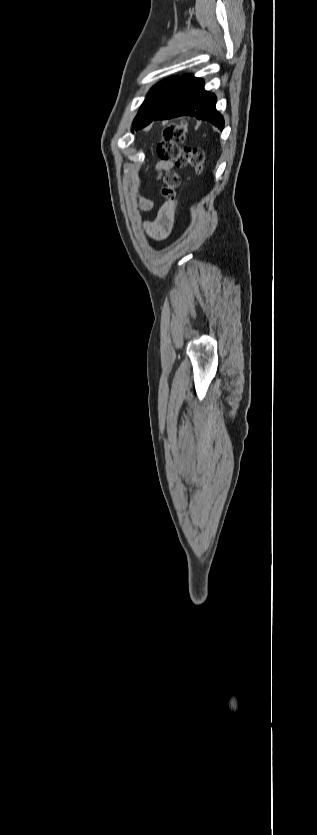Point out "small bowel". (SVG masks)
Masks as SVG:
<instances>
[{
	"instance_id": "c3829d8e",
	"label": "small bowel",
	"mask_w": 317,
	"mask_h": 835,
	"mask_svg": "<svg viewBox=\"0 0 317 835\" xmlns=\"http://www.w3.org/2000/svg\"><path fill=\"white\" fill-rule=\"evenodd\" d=\"M172 167V162H159L156 166V177L159 178L162 172L169 171ZM138 204L143 211H149L153 208V201L146 197H140ZM174 225V210L170 206H164L158 211L155 220L148 226V233L155 240H164L171 234Z\"/></svg>"
}]
</instances>
